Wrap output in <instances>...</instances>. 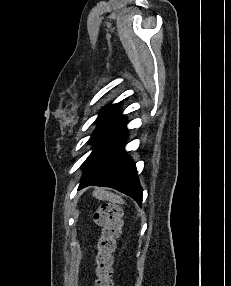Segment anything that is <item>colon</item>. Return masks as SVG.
<instances>
[{"label": "colon", "instance_id": "5ec220e1", "mask_svg": "<svg viewBox=\"0 0 231 286\" xmlns=\"http://www.w3.org/2000/svg\"><path fill=\"white\" fill-rule=\"evenodd\" d=\"M93 219L101 227L97 242L95 286H113V252L121 229V210L115 204L103 203L93 212Z\"/></svg>", "mask_w": 231, "mask_h": 286}]
</instances>
